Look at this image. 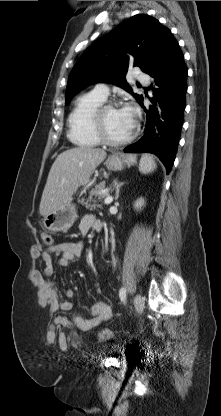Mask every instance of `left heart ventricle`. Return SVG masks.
<instances>
[{
    "mask_svg": "<svg viewBox=\"0 0 221 416\" xmlns=\"http://www.w3.org/2000/svg\"><path fill=\"white\" fill-rule=\"evenodd\" d=\"M104 123L108 135L114 140L128 137L134 126L119 108L107 110L104 114Z\"/></svg>",
    "mask_w": 221,
    "mask_h": 416,
    "instance_id": "left-heart-ventricle-1",
    "label": "left heart ventricle"
}]
</instances>
